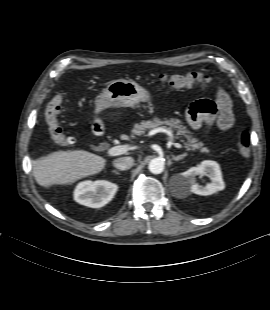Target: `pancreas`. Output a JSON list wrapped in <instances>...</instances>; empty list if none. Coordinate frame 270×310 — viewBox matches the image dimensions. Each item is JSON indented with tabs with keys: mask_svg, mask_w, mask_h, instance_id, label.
<instances>
[{
	"mask_svg": "<svg viewBox=\"0 0 270 310\" xmlns=\"http://www.w3.org/2000/svg\"><path fill=\"white\" fill-rule=\"evenodd\" d=\"M166 128L171 133L176 132V137L186 138L184 141L185 148L191 151H200L201 153H209L210 150L204 147V143L200 142L199 139L192 137V133L187 130L186 126L181 125V121L178 119L170 120H160L159 118H154L152 121H142L140 124H135L132 133L135 135H142L147 130Z\"/></svg>",
	"mask_w": 270,
	"mask_h": 310,
	"instance_id": "pancreas-1",
	"label": "pancreas"
}]
</instances>
